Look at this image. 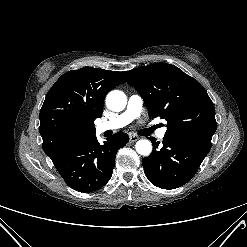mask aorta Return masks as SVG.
<instances>
[{
    "mask_svg": "<svg viewBox=\"0 0 247 247\" xmlns=\"http://www.w3.org/2000/svg\"><path fill=\"white\" fill-rule=\"evenodd\" d=\"M126 104L127 97L122 91L113 90L106 96V106L114 112L122 111L126 107ZM135 149L138 154L148 156L152 152V144L147 139H141L136 143Z\"/></svg>",
    "mask_w": 247,
    "mask_h": 247,
    "instance_id": "762f6f07",
    "label": "aorta"
}]
</instances>
